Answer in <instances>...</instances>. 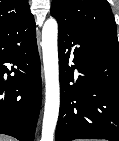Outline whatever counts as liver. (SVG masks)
<instances>
[{
  "mask_svg": "<svg viewBox=\"0 0 119 141\" xmlns=\"http://www.w3.org/2000/svg\"><path fill=\"white\" fill-rule=\"evenodd\" d=\"M0 141H13L12 138L5 137L3 135H0Z\"/></svg>",
  "mask_w": 119,
  "mask_h": 141,
  "instance_id": "1",
  "label": "liver"
}]
</instances>
